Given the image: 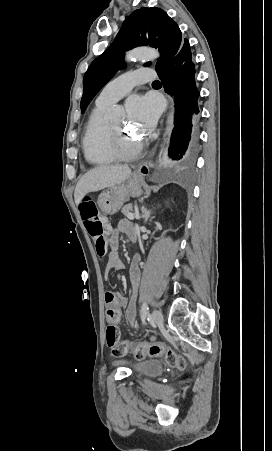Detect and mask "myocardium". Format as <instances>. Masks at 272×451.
Here are the masks:
<instances>
[{
  "label": "myocardium",
  "mask_w": 272,
  "mask_h": 451,
  "mask_svg": "<svg viewBox=\"0 0 272 451\" xmlns=\"http://www.w3.org/2000/svg\"><path fill=\"white\" fill-rule=\"evenodd\" d=\"M106 135L108 141L113 143L115 152H118L120 155L130 156L135 152L137 145L129 143L128 140H118L111 125H108Z\"/></svg>",
  "instance_id": "obj_1"
}]
</instances>
